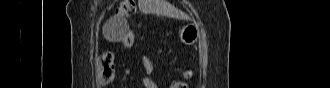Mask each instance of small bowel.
<instances>
[{"label":"small bowel","instance_id":"1","mask_svg":"<svg viewBox=\"0 0 330 88\" xmlns=\"http://www.w3.org/2000/svg\"><path fill=\"white\" fill-rule=\"evenodd\" d=\"M140 62H141L142 68L144 70V76L142 79L143 84L146 87L153 88L154 83L152 81V74L154 72V65H153L152 61L150 60V58L144 54H142L140 56Z\"/></svg>","mask_w":330,"mask_h":88}]
</instances>
